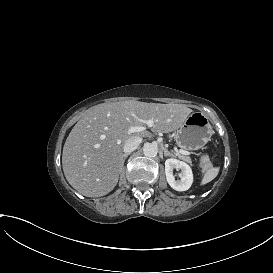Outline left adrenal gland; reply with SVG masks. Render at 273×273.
Segmentation results:
<instances>
[{"label":"left adrenal gland","instance_id":"a2214340","mask_svg":"<svg viewBox=\"0 0 273 273\" xmlns=\"http://www.w3.org/2000/svg\"><path fill=\"white\" fill-rule=\"evenodd\" d=\"M162 150L164 151V157H173V158H176V156L173 153L169 152L167 148L163 147Z\"/></svg>","mask_w":273,"mask_h":273}]
</instances>
